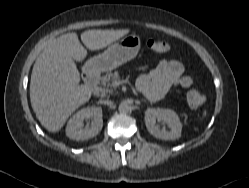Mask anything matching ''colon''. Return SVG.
I'll return each mask as SVG.
<instances>
[{
  "instance_id": "obj_1",
  "label": "colon",
  "mask_w": 249,
  "mask_h": 188,
  "mask_svg": "<svg viewBox=\"0 0 249 188\" xmlns=\"http://www.w3.org/2000/svg\"><path fill=\"white\" fill-rule=\"evenodd\" d=\"M147 47L158 53L166 52L169 49V44L164 40L149 39L146 43ZM187 101L192 107H200L206 102V98L197 90H191L187 94Z\"/></svg>"
}]
</instances>
